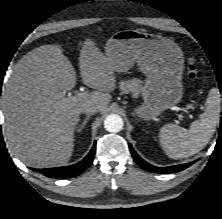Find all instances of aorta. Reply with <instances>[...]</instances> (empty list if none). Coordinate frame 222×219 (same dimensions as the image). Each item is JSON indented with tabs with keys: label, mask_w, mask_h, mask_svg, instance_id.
<instances>
[{
	"label": "aorta",
	"mask_w": 222,
	"mask_h": 219,
	"mask_svg": "<svg viewBox=\"0 0 222 219\" xmlns=\"http://www.w3.org/2000/svg\"><path fill=\"white\" fill-rule=\"evenodd\" d=\"M104 128L108 132L117 133L123 128V119L117 114L108 115L104 121Z\"/></svg>",
	"instance_id": "aorta-1"
}]
</instances>
